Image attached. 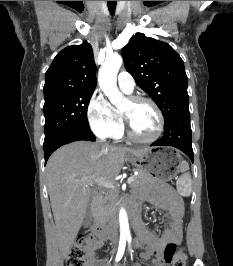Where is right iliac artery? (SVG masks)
<instances>
[{
    "label": "right iliac artery",
    "mask_w": 233,
    "mask_h": 266,
    "mask_svg": "<svg viewBox=\"0 0 233 266\" xmlns=\"http://www.w3.org/2000/svg\"><path fill=\"white\" fill-rule=\"evenodd\" d=\"M125 246H126V239H120L118 252L116 255V259H115L116 262H118L122 258L124 254Z\"/></svg>",
    "instance_id": "obj_1"
}]
</instances>
